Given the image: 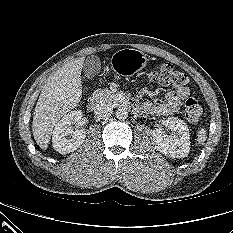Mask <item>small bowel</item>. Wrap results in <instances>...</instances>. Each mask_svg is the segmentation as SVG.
<instances>
[{
    "mask_svg": "<svg viewBox=\"0 0 233 233\" xmlns=\"http://www.w3.org/2000/svg\"><path fill=\"white\" fill-rule=\"evenodd\" d=\"M190 96V89L186 86L168 92L162 103L146 102L142 110L153 115H172L179 111L183 102Z\"/></svg>",
    "mask_w": 233,
    "mask_h": 233,
    "instance_id": "small-bowel-1",
    "label": "small bowel"
}]
</instances>
